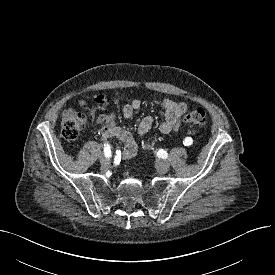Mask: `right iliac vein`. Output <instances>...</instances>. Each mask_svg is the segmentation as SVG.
<instances>
[{
	"label": "right iliac vein",
	"mask_w": 275,
	"mask_h": 275,
	"mask_svg": "<svg viewBox=\"0 0 275 275\" xmlns=\"http://www.w3.org/2000/svg\"><path fill=\"white\" fill-rule=\"evenodd\" d=\"M100 162L104 167H108L110 165V159L103 155L100 156Z\"/></svg>",
	"instance_id": "obj_1"
}]
</instances>
